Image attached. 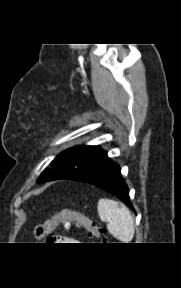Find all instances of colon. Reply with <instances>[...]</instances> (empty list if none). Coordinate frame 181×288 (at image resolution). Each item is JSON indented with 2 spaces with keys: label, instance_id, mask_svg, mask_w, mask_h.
<instances>
[{
  "label": "colon",
  "instance_id": "obj_1",
  "mask_svg": "<svg viewBox=\"0 0 181 288\" xmlns=\"http://www.w3.org/2000/svg\"><path fill=\"white\" fill-rule=\"evenodd\" d=\"M73 223L77 227L84 228L90 237L105 240V230L94 220L79 211L68 208L62 209L47 222L36 225L33 235L36 239H42L50 236L58 228L70 229Z\"/></svg>",
  "mask_w": 181,
  "mask_h": 288
}]
</instances>
